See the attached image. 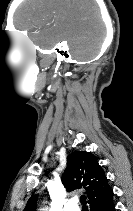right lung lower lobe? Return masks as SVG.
Masks as SVG:
<instances>
[{"label": "right lung lower lobe", "mask_w": 133, "mask_h": 211, "mask_svg": "<svg viewBox=\"0 0 133 211\" xmlns=\"http://www.w3.org/2000/svg\"><path fill=\"white\" fill-rule=\"evenodd\" d=\"M91 211H116L113 198L105 203L97 204L90 208Z\"/></svg>", "instance_id": "98d812e1"}]
</instances>
